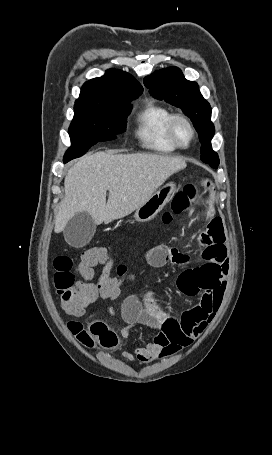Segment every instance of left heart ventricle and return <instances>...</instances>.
Instances as JSON below:
<instances>
[{
	"label": "left heart ventricle",
	"instance_id": "1",
	"mask_svg": "<svg viewBox=\"0 0 272 455\" xmlns=\"http://www.w3.org/2000/svg\"><path fill=\"white\" fill-rule=\"evenodd\" d=\"M176 137L181 144H186L190 140L191 132L183 122H178L175 126Z\"/></svg>",
	"mask_w": 272,
	"mask_h": 455
}]
</instances>
